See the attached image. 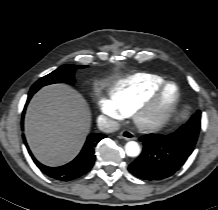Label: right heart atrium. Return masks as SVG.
Segmentation results:
<instances>
[{
	"label": "right heart atrium",
	"mask_w": 218,
	"mask_h": 210,
	"mask_svg": "<svg viewBox=\"0 0 218 210\" xmlns=\"http://www.w3.org/2000/svg\"><path fill=\"white\" fill-rule=\"evenodd\" d=\"M100 110L112 120H119L123 112L112 97L102 96L98 102Z\"/></svg>",
	"instance_id": "1"
}]
</instances>
